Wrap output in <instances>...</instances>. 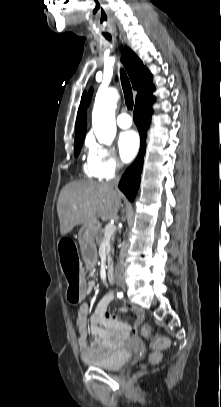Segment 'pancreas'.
<instances>
[{"mask_svg": "<svg viewBox=\"0 0 221 407\" xmlns=\"http://www.w3.org/2000/svg\"><path fill=\"white\" fill-rule=\"evenodd\" d=\"M104 240V231H101L99 238L97 239V244H102Z\"/></svg>", "mask_w": 221, "mask_h": 407, "instance_id": "1", "label": "pancreas"}]
</instances>
